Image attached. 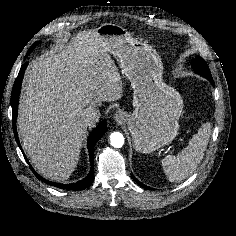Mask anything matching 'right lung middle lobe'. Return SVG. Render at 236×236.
Returning <instances> with one entry per match:
<instances>
[{
	"label": "right lung middle lobe",
	"mask_w": 236,
	"mask_h": 236,
	"mask_svg": "<svg viewBox=\"0 0 236 236\" xmlns=\"http://www.w3.org/2000/svg\"><path fill=\"white\" fill-rule=\"evenodd\" d=\"M36 45H38L37 42L34 43V44L31 46V48L29 49L28 53L32 52V50L35 48Z\"/></svg>",
	"instance_id": "dd1d6c3e"
}]
</instances>
